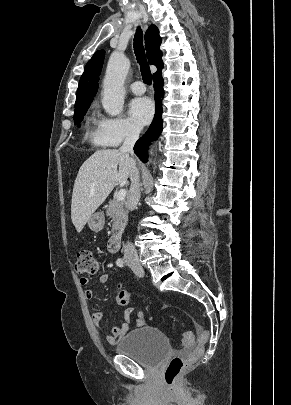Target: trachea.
I'll return each mask as SVG.
<instances>
[{
	"label": "trachea",
	"mask_w": 291,
	"mask_h": 405,
	"mask_svg": "<svg viewBox=\"0 0 291 405\" xmlns=\"http://www.w3.org/2000/svg\"><path fill=\"white\" fill-rule=\"evenodd\" d=\"M133 45L137 61L140 64L143 80L146 84L150 85L152 83V76L149 64L145 56V50L143 46V33L140 28L136 30Z\"/></svg>",
	"instance_id": "trachea-1"
}]
</instances>
